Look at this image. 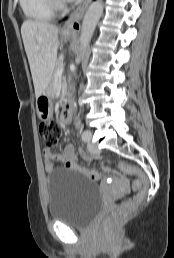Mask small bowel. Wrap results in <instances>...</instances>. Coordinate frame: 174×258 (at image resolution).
Masks as SVG:
<instances>
[{"instance_id":"obj_1","label":"small bowel","mask_w":174,"mask_h":258,"mask_svg":"<svg viewBox=\"0 0 174 258\" xmlns=\"http://www.w3.org/2000/svg\"><path fill=\"white\" fill-rule=\"evenodd\" d=\"M77 128L80 127V123H76ZM44 155V168L47 173H51L54 170V162H62L64 167L72 170H79V171H85L91 179H99L100 178V169L92 168V171H87L84 167L79 165L76 160L75 152L72 146L67 145L64 147L61 154L53 152L50 148H45L43 150ZM82 155V162H91L92 156L84 151H81ZM100 167H105V162L99 163ZM97 170V171H95ZM105 171L108 169H104ZM116 179H122L120 180V183L122 185V188L124 190H129V179H123V174H116Z\"/></svg>"}]
</instances>
